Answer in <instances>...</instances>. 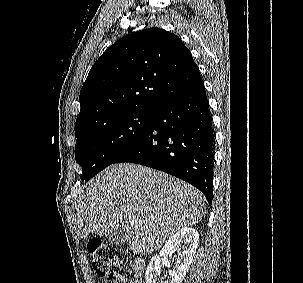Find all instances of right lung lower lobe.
Listing matches in <instances>:
<instances>
[{"instance_id": "1", "label": "right lung lower lobe", "mask_w": 303, "mask_h": 283, "mask_svg": "<svg viewBox=\"0 0 303 283\" xmlns=\"http://www.w3.org/2000/svg\"><path fill=\"white\" fill-rule=\"evenodd\" d=\"M214 130L203 80L152 111L139 139L113 163L132 162L176 176L213 198Z\"/></svg>"}]
</instances>
